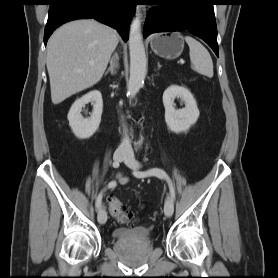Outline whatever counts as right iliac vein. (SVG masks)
<instances>
[{"label": "right iliac vein", "mask_w": 278, "mask_h": 278, "mask_svg": "<svg viewBox=\"0 0 278 278\" xmlns=\"http://www.w3.org/2000/svg\"><path fill=\"white\" fill-rule=\"evenodd\" d=\"M127 157V154L126 152L124 151H116L114 153V156H113V159L115 162H121L123 160H125ZM98 222L100 224H105L106 221H107V213H106V210L102 207L99 212H98Z\"/></svg>", "instance_id": "right-iliac-vein-1"}]
</instances>
